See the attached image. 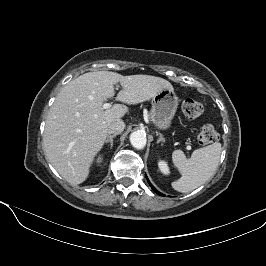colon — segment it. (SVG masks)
Listing matches in <instances>:
<instances>
[{
	"label": "colon",
	"instance_id": "colon-1",
	"mask_svg": "<svg viewBox=\"0 0 266 266\" xmlns=\"http://www.w3.org/2000/svg\"><path fill=\"white\" fill-rule=\"evenodd\" d=\"M203 110V105L194 99H186L182 104L183 114L190 120L199 118L203 114ZM218 137V132L215 127L206 124L198 134V142L202 145H207L217 141Z\"/></svg>",
	"mask_w": 266,
	"mask_h": 266
}]
</instances>
